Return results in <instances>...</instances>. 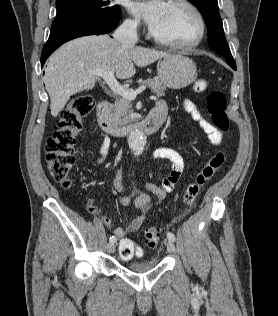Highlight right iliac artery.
I'll return each mask as SVG.
<instances>
[{
  "label": "right iliac artery",
  "mask_w": 278,
  "mask_h": 316,
  "mask_svg": "<svg viewBox=\"0 0 278 316\" xmlns=\"http://www.w3.org/2000/svg\"><path fill=\"white\" fill-rule=\"evenodd\" d=\"M109 240L110 242L115 243L117 239L115 236H111Z\"/></svg>",
  "instance_id": "1"
}]
</instances>
